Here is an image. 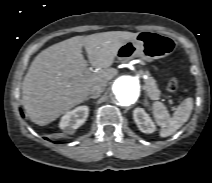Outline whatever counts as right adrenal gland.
I'll use <instances>...</instances> for the list:
<instances>
[{
    "mask_svg": "<svg viewBox=\"0 0 212 183\" xmlns=\"http://www.w3.org/2000/svg\"><path fill=\"white\" fill-rule=\"evenodd\" d=\"M98 97H99L98 95L97 96H95V95L88 96V97L85 98L84 101H88L89 99H97Z\"/></svg>",
    "mask_w": 212,
    "mask_h": 183,
    "instance_id": "2a0ac1e0",
    "label": "right adrenal gland"
}]
</instances>
